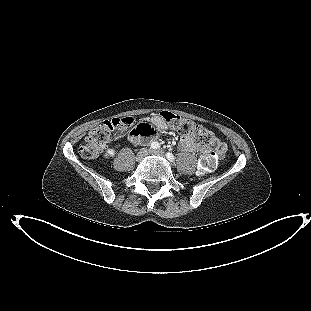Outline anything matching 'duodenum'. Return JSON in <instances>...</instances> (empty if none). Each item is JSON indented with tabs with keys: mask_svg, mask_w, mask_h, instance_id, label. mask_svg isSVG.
<instances>
[{
	"mask_svg": "<svg viewBox=\"0 0 311 311\" xmlns=\"http://www.w3.org/2000/svg\"><path fill=\"white\" fill-rule=\"evenodd\" d=\"M131 140H132V141H139L140 139L133 136V137L131 138Z\"/></svg>",
	"mask_w": 311,
	"mask_h": 311,
	"instance_id": "1",
	"label": "duodenum"
}]
</instances>
